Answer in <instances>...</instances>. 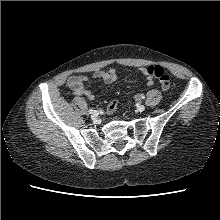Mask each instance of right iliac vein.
Here are the masks:
<instances>
[{
	"label": "right iliac vein",
	"mask_w": 220,
	"mask_h": 220,
	"mask_svg": "<svg viewBox=\"0 0 220 220\" xmlns=\"http://www.w3.org/2000/svg\"><path fill=\"white\" fill-rule=\"evenodd\" d=\"M98 117V112L97 111H94L92 114H91V118L92 119H96Z\"/></svg>",
	"instance_id": "right-iliac-vein-1"
}]
</instances>
